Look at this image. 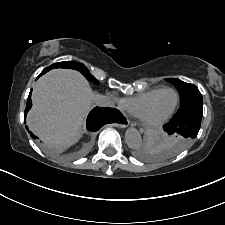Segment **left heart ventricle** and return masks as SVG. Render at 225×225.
I'll return each instance as SVG.
<instances>
[{"label": "left heart ventricle", "mask_w": 225, "mask_h": 225, "mask_svg": "<svg viewBox=\"0 0 225 225\" xmlns=\"http://www.w3.org/2000/svg\"><path fill=\"white\" fill-rule=\"evenodd\" d=\"M176 103V95L172 91L162 93L152 104L147 118L150 121H158L167 116Z\"/></svg>", "instance_id": "b2bd125f"}]
</instances>
